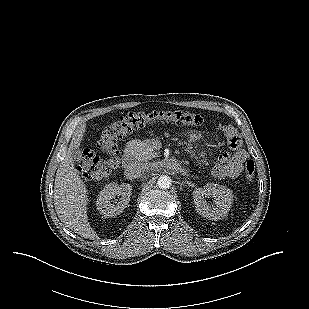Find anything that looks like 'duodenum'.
<instances>
[{
  "instance_id": "duodenum-1",
  "label": "duodenum",
  "mask_w": 309,
  "mask_h": 309,
  "mask_svg": "<svg viewBox=\"0 0 309 309\" xmlns=\"http://www.w3.org/2000/svg\"><path fill=\"white\" fill-rule=\"evenodd\" d=\"M134 161V152L131 149L126 150L122 158V164L125 169H129Z\"/></svg>"
}]
</instances>
